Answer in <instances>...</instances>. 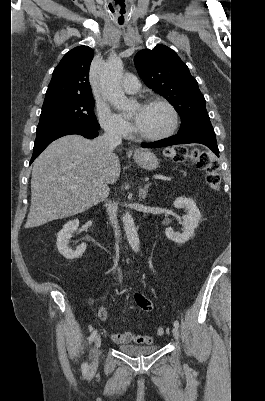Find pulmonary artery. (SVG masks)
Segmentation results:
<instances>
[{"mask_svg": "<svg viewBox=\"0 0 265 401\" xmlns=\"http://www.w3.org/2000/svg\"><path fill=\"white\" fill-rule=\"evenodd\" d=\"M122 87L126 95H135L138 89V77L136 75H125Z\"/></svg>", "mask_w": 265, "mask_h": 401, "instance_id": "e3ab8cb5", "label": "pulmonary artery"}]
</instances>
